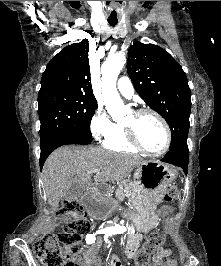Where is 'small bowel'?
<instances>
[{
    "mask_svg": "<svg viewBox=\"0 0 221 266\" xmlns=\"http://www.w3.org/2000/svg\"><path fill=\"white\" fill-rule=\"evenodd\" d=\"M164 213H171V207H164L162 209ZM96 233H90L88 235H93ZM142 240V235L139 233H131L128 235L124 253L127 259L131 260L136 250L139 247V244ZM93 244V243H92ZM101 245L100 238L97 239V242L93 245H90L85 253L80 255H70L69 259L76 262L77 266H98L100 264V259L97 256L98 250ZM171 250L168 248H159L154 256H153V263L150 266H166V261L171 257ZM108 266H122L120 260L115 255H110L108 257Z\"/></svg>",
    "mask_w": 221,
    "mask_h": 266,
    "instance_id": "obj_1",
    "label": "small bowel"
}]
</instances>
